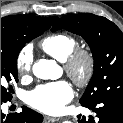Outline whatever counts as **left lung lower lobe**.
Here are the masks:
<instances>
[{
  "label": "left lung lower lobe",
  "mask_w": 123,
  "mask_h": 123,
  "mask_svg": "<svg viewBox=\"0 0 123 123\" xmlns=\"http://www.w3.org/2000/svg\"><path fill=\"white\" fill-rule=\"evenodd\" d=\"M82 106L96 112L97 119L92 116L87 120L85 116L78 115V123H123V95L106 97L96 103Z\"/></svg>",
  "instance_id": "1"
}]
</instances>
